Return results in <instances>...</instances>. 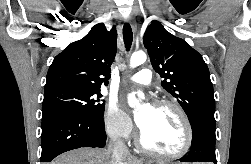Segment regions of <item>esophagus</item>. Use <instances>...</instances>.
Masks as SVG:
<instances>
[{
	"label": "esophagus",
	"mask_w": 251,
	"mask_h": 164,
	"mask_svg": "<svg viewBox=\"0 0 251 164\" xmlns=\"http://www.w3.org/2000/svg\"><path fill=\"white\" fill-rule=\"evenodd\" d=\"M127 21L130 23V25H131L133 31L135 32V31H136V28H137L136 22H135L132 18H128Z\"/></svg>",
	"instance_id": "esophagus-1"
}]
</instances>
